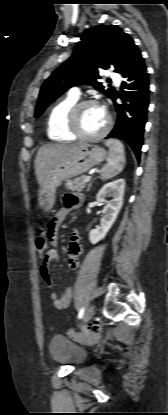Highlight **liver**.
I'll return each instance as SVG.
<instances>
[{"label": "liver", "mask_w": 168, "mask_h": 415, "mask_svg": "<svg viewBox=\"0 0 168 415\" xmlns=\"http://www.w3.org/2000/svg\"><path fill=\"white\" fill-rule=\"evenodd\" d=\"M83 144H47L42 146L35 158V174L41 185L52 166L77 152Z\"/></svg>", "instance_id": "obj_1"}]
</instances>
